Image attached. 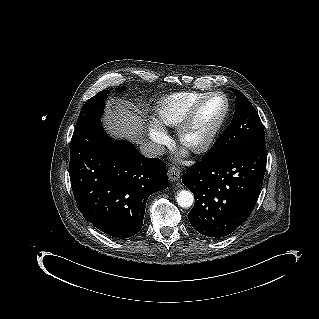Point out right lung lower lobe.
<instances>
[{"instance_id":"right-lung-lower-lobe-1","label":"right lung lower lobe","mask_w":319,"mask_h":319,"mask_svg":"<svg viewBox=\"0 0 319 319\" xmlns=\"http://www.w3.org/2000/svg\"><path fill=\"white\" fill-rule=\"evenodd\" d=\"M69 175L83 216L120 239L140 231L148 197L168 186L160 159L146 158L131 143L112 141L99 118L75 129Z\"/></svg>"}]
</instances>
